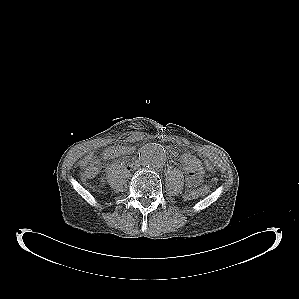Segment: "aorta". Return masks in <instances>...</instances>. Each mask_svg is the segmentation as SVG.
<instances>
[{
	"label": "aorta",
	"mask_w": 299,
	"mask_h": 299,
	"mask_svg": "<svg viewBox=\"0 0 299 299\" xmlns=\"http://www.w3.org/2000/svg\"><path fill=\"white\" fill-rule=\"evenodd\" d=\"M139 158L143 166L149 169H157L164 164L166 154L162 146L149 143L140 149Z\"/></svg>",
	"instance_id": "aorta-1"
}]
</instances>
